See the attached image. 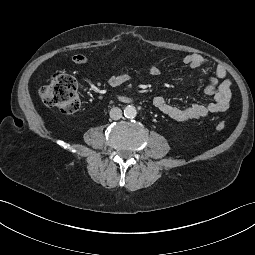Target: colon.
<instances>
[{"mask_svg": "<svg viewBox=\"0 0 255 255\" xmlns=\"http://www.w3.org/2000/svg\"><path fill=\"white\" fill-rule=\"evenodd\" d=\"M76 90L77 81L66 72L57 71L52 75L49 84L39 90V97L45 105L55 107L64 114H73L79 109ZM216 128L223 130L225 123L218 122Z\"/></svg>", "mask_w": 255, "mask_h": 255, "instance_id": "5ec220e1", "label": "colon"}]
</instances>
